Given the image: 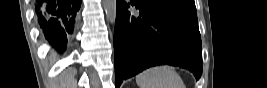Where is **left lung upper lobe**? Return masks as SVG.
<instances>
[{
    "mask_svg": "<svg viewBox=\"0 0 267 88\" xmlns=\"http://www.w3.org/2000/svg\"><path fill=\"white\" fill-rule=\"evenodd\" d=\"M142 1L145 2L146 4H153L162 7L177 9L197 15L194 0H142Z\"/></svg>",
    "mask_w": 267,
    "mask_h": 88,
    "instance_id": "obj_1",
    "label": "left lung upper lobe"
}]
</instances>
